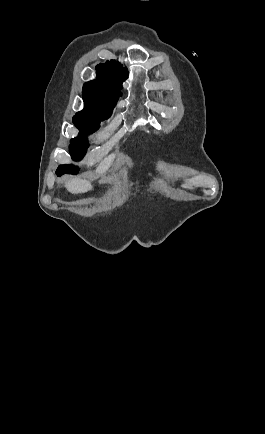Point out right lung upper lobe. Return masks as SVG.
I'll use <instances>...</instances> for the list:
<instances>
[{
	"instance_id": "1",
	"label": "right lung upper lobe",
	"mask_w": 265,
	"mask_h": 434,
	"mask_svg": "<svg viewBox=\"0 0 265 434\" xmlns=\"http://www.w3.org/2000/svg\"><path fill=\"white\" fill-rule=\"evenodd\" d=\"M97 79L87 82L83 86V93L103 97L117 102L121 93L122 82L127 78V70L115 60L99 64L96 68Z\"/></svg>"
}]
</instances>
